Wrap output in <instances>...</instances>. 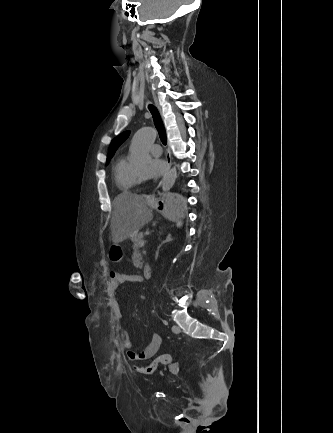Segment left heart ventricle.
Segmentation results:
<instances>
[{"mask_svg": "<svg viewBox=\"0 0 333 433\" xmlns=\"http://www.w3.org/2000/svg\"><path fill=\"white\" fill-rule=\"evenodd\" d=\"M145 168H146L145 165H139V166H136L135 169H136L139 173L143 174Z\"/></svg>", "mask_w": 333, "mask_h": 433, "instance_id": "b2bd125f", "label": "left heart ventricle"}]
</instances>
